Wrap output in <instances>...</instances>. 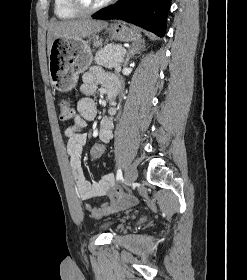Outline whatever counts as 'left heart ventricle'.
Segmentation results:
<instances>
[{"instance_id": "obj_1", "label": "left heart ventricle", "mask_w": 247, "mask_h": 280, "mask_svg": "<svg viewBox=\"0 0 247 280\" xmlns=\"http://www.w3.org/2000/svg\"><path fill=\"white\" fill-rule=\"evenodd\" d=\"M82 1L88 6H96L104 2L105 0H82Z\"/></svg>"}]
</instances>
